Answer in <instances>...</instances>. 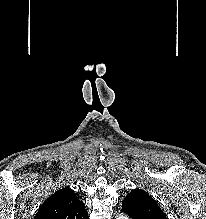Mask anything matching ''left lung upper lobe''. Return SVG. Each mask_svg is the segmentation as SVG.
Here are the masks:
<instances>
[{
    "label": "left lung upper lobe",
    "instance_id": "left-lung-upper-lobe-1",
    "mask_svg": "<svg viewBox=\"0 0 206 219\" xmlns=\"http://www.w3.org/2000/svg\"><path fill=\"white\" fill-rule=\"evenodd\" d=\"M122 210L133 219H167L166 215L145 191H131L122 202Z\"/></svg>",
    "mask_w": 206,
    "mask_h": 219
}]
</instances>
